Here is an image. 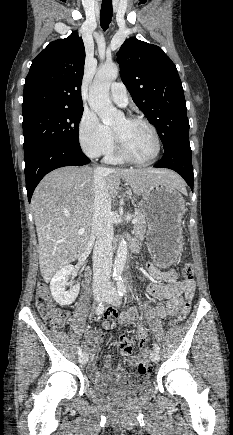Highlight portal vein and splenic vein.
<instances>
[{"instance_id": "18ae733b", "label": "portal vein and splenic vein", "mask_w": 233, "mask_h": 435, "mask_svg": "<svg viewBox=\"0 0 233 435\" xmlns=\"http://www.w3.org/2000/svg\"><path fill=\"white\" fill-rule=\"evenodd\" d=\"M136 222H137V219L134 218V219L132 220V223L135 224ZM84 230H85L84 228H81V229L78 231V233H79V234H82V233L84 232Z\"/></svg>"}]
</instances>
